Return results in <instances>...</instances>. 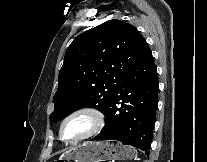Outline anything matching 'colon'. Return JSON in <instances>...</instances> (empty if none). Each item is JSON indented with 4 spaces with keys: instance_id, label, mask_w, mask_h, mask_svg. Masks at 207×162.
Returning <instances> with one entry per match:
<instances>
[{
    "instance_id": "obj_1",
    "label": "colon",
    "mask_w": 207,
    "mask_h": 162,
    "mask_svg": "<svg viewBox=\"0 0 207 162\" xmlns=\"http://www.w3.org/2000/svg\"><path fill=\"white\" fill-rule=\"evenodd\" d=\"M57 162H65V161H57Z\"/></svg>"
}]
</instances>
